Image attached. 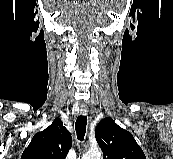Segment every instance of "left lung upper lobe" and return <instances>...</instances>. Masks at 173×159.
Segmentation results:
<instances>
[{"instance_id": "5c2ea615", "label": "left lung upper lobe", "mask_w": 173, "mask_h": 159, "mask_svg": "<svg viewBox=\"0 0 173 159\" xmlns=\"http://www.w3.org/2000/svg\"><path fill=\"white\" fill-rule=\"evenodd\" d=\"M95 137L103 151V159H146L132 134L118 126L110 117L99 122Z\"/></svg>"}]
</instances>
